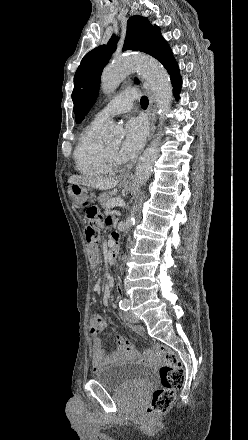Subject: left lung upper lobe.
I'll return each mask as SVG.
<instances>
[{
	"mask_svg": "<svg viewBox=\"0 0 248 440\" xmlns=\"http://www.w3.org/2000/svg\"><path fill=\"white\" fill-rule=\"evenodd\" d=\"M118 38L113 35L107 45L99 46L87 53L74 76L72 99L76 121L81 122L89 111L98 94L100 76L108 63L111 54L116 50ZM125 50H139L157 60L167 69L170 75L179 73L172 52L160 35L157 26H153L147 18L132 16L127 21V32L123 45ZM138 83V80H135Z\"/></svg>",
	"mask_w": 248,
	"mask_h": 440,
	"instance_id": "obj_1",
	"label": "left lung upper lobe"
}]
</instances>
